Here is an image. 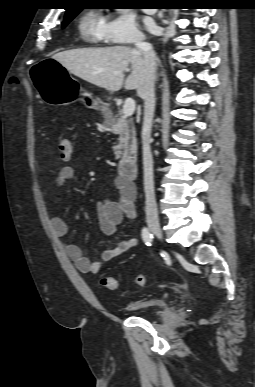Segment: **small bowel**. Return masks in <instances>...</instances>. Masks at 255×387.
<instances>
[{"label": "small bowel", "instance_id": "1", "mask_svg": "<svg viewBox=\"0 0 255 387\" xmlns=\"http://www.w3.org/2000/svg\"><path fill=\"white\" fill-rule=\"evenodd\" d=\"M72 156H60V159L62 161H69ZM75 173V168L71 165L61 167L55 177V186L58 188L62 187L68 180L75 176ZM115 186L118 190L117 199H101L96 204L100 229L107 236H114L116 234L117 228L124 217L129 219L136 218L134 185L130 181L117 178L115 180ZM51 228L53 233L62 239L66 254L81 273L98 274L102 270L104 263L123 255L138 245L136 238L122 240L114 247L104 249L97 260L91 261L83 255L80 247L63 240L68 232V225L62 217H52ZM135 305L136 302L130 305V309L133 310Z\"/></svg>", "mask_w": 255, "mask_h": 387}]
</instances>
